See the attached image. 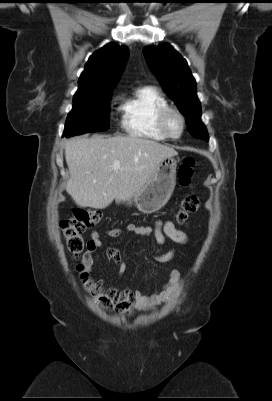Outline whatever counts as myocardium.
<instances>
[{
  "mask_svg": "<svg viewBox=\"0 0 272 401\" xmlns=\"http://www.w3.org/2000/svg\"><path fill=\"white\" fill-rule=\"evenodd\" d=\"M172 115L176 116L179 119L180 130L178 134H173L170 130L169 119ZM158 121L160 128L168 138L179 139L184 134L186 127L185 116L178 108L168 105L160 112Z\"/></svg>",
  "mask_w": 272,
  "mask_h": 401,
  "instance_id": "myocardium-1",
  "label": "myocardium"
}]
</instances>
